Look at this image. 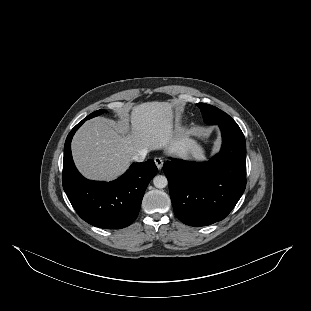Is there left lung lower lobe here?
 Wrapping results in <instances>:
<instances>
[{
	"instance_id": "0a47b994",
	"label": "left lung lower lobe",
	"mask_w": 311,
	"mask_h": 311,
	"mask_svg": "<svg viewBox=\"0 0 311 311\" xmlns=\"http://www.w3.org/2000/svg\"><path fill=\"white\" fill-rule=\"evenodd\" d=\"M220 152L204 163L167 161L163 171L176 217L190 226L224 219L246 187V141L238 124L219 123Z\"/></svg>"
}]
</instances>
